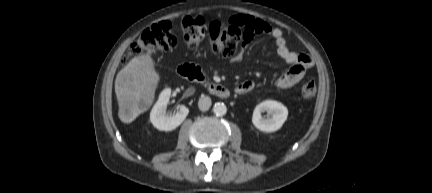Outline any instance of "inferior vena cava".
I'll return each mask as SVG.
<instances>
[{
  "label": "inferior vena cava",
  "instance_id": "602c4592",
  "mask_svg": "<svg viewBox=\"0 0 432 193\" xmlns=\"http://www.w3.org/2000/svg\"><path fill=\"white\" fill-rule=\"evenodd\" d=\"M210 106H211V98L209 96L201 95L198 102L199 109L201 111H206L210 108Z\"/></svg>",
  "mask_w": 432,
  "mask_h": 193
}]
</instances>
